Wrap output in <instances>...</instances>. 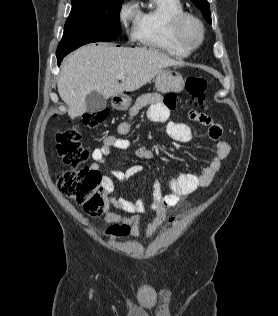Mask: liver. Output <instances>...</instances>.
Listing matches in <instances>:
<instances>
[{
    "label": "liver",
    "mask_w": 278,
    "mask_h": 316,
    "mask_svg": "<svg viewBox=\"0 0 278 316\" xmlns=\"http://www.w3.org/2000/svg\"><path fill=\"white\" fill-rule=\"evenodd\" d=\"M180 62L155 49L115 47L105 43L87 45L69 55L58 77V93L74 119L86 111L85 98L91 91L105 99L135 91L166 67ZM123 74L121 83L117 75Z\"/></svg>",
    "instance_id": "6515ba94"
}]
</instances>
